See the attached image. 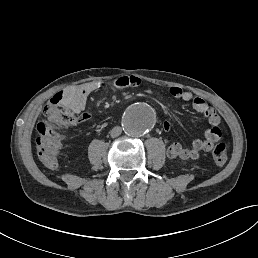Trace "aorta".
<instances>
[{"mask_svg": "<svg viewBox=\"0 0 258 258\" xmlns=\"http://www.w3.org/2000/svg\"><path fill=\"white\" fill-rule=\"evenodd\" d=\"M156 122L155 114L149 105L137 103L124 114L122 126L130 137H140L150 130Z\"/></svg>", "mask_w": 258, "mask_h": 258, "instance_id": "obj_1", "label": "aorta"}]
</instances>
